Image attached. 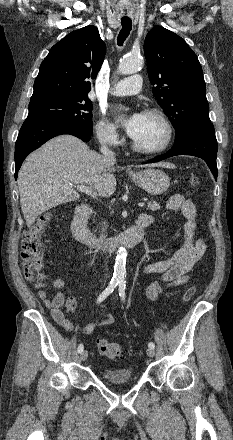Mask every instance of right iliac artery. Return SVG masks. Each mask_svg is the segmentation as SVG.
I'll return each instance as SVG.
<instances>
[{"mask_svg":"<svg viewBox=\"0 0 233 440\" xmlns=\"http://www.w3.org/2000/svg\"><path fill=\"white\" fill-rule=\"evenodd\" d=\"M118 284H119L118 279H112L109 285L107 286V288L97 298V303L102 302L107 296H109L114 291V289ZM83 348H84L83 344H80L77 349L78 353H81L83 351Z\"/></svg>","mask_w":233,"mask_h":440,"instance_id":"right-iliac-artery-1","label":"right iliac artery"}]
</instances>
